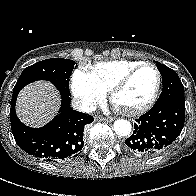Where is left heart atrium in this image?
<instances>
[{
  "instance_id": "39dd6f15",
  "label": "left heart atrium",
  "mask_w": 196,
  "mask_h": 196,
  "mask_svg": "<svg viewBox=\"0 0 196 196\" xmlns=\"http://www.w3.org/2000/svg\"><path fill=\"white\" fill-rule=\"evenodd\" d=\"M116 108H120V106L116 104Z\"/></svg>"
}]
</instances>
